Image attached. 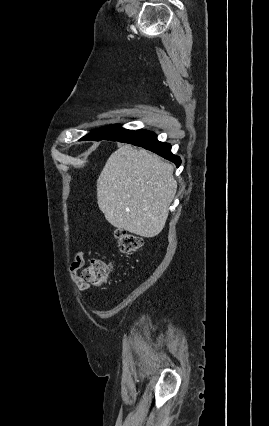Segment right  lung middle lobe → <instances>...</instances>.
Returning a JSON list of instances; mask_svg holds the SVG:
<instances>
[{
	"label": "right lung middle lobe",
	"mask_w": 269,
	"mask_h": 426,
	"mask_svg": "<svg viewBox=\"0 0 269 426\" xmlns=\"http://www.w3.org/2000/svg\"><path fill=\"white\" fill-rule=\"evenodd\" d=\"M133 132H134L133 130H127V129L119 127L118 125L107 126L101 130H98L86 135L85 137H83V139L95 140V141H101V140L117 141V140H121L128 137Z\"/></svg>",
	"instance_id": "dd1d6c3e"
}]
</instances>
